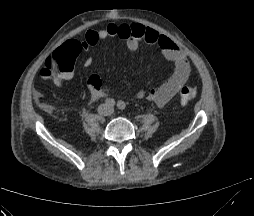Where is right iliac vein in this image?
Here are the masks:
<instances>
[{
  "instance_id": "obj_1",
  "label": "right iliac vein",
  "mask_w": 254,
  "mask_h": 216,
  "mask_svg": "<svg viewBox=\"0 0 254 216\" xmlns=\"http://www.w3.org/2000/svg\"><path fill=\"white\" fill-rule=\"evenodd\" d=\"M107 111H108V106L107 105H102L99 108V113H101V114H105Z\"/></svg>"
}]
</instances>
